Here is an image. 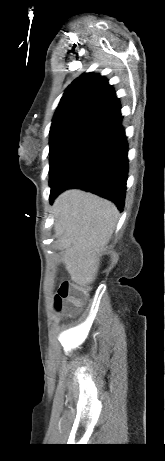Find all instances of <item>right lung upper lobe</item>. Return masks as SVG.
Wrapping results in <instances>:
<instances>
[{"label":"right lung upper lobe","instance_id":"cb5924a9","mask_svg":"<svg viewBox=\"0 0 165 461\" xmlns=\"http://www.w3.org/2000/svg\"><path fill=\"white\" fill-rule=\"evenodd\" d=\"M120 102L104 76L82 74L63 94L53 120L93 115L110 121L121 114Z\"/></svg>","mask_w":165,"mask_h":461}]
</instances>
